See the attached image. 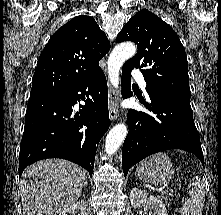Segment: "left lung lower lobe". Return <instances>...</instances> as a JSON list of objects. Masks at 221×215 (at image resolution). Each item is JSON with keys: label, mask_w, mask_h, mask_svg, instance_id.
<instances>
[{"label": "left lung lower lobe", "mask_w": 221, "mask_h": 215, "mask_svg": "<svg viewBox=\"0 0 221 215\" xmlns=\"http://www.w3.org/2000/svg\"><path fill=\"white\" fill-rule=\"evenodd\" d=\"M122 96H132L131 71L122 69ZM151 103L140 102L154 115L128 111V135L122 148V167L126 176L130 167L154 153L168 149H182L195 154L204 165L199 135L193 120L190 102L148 93Z\"/></svg>", "instance_id": "obj_1"}]
</instances>
